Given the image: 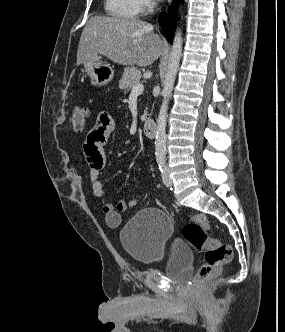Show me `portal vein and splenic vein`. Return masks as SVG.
<instances>
[{
    "instance_id": "1",
    "label": "portal vein and splenic vein",
    "mask_w": 285,
    "mask_h": 332,
    "mask_svg": "<svg viewBox=\"0 0 285 332\" xmlns=\"http://www.w3.org/2000/svg\"><path fill=\"white\" fill-rule=\"evenodd\" d=\"M144 91V85L141 83L136 84L133 86L131 95H139Z\"/></svg>"
}]
</instances>
